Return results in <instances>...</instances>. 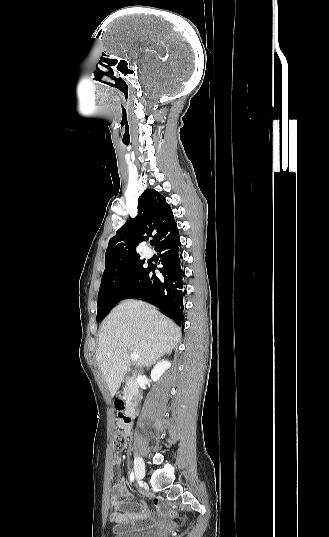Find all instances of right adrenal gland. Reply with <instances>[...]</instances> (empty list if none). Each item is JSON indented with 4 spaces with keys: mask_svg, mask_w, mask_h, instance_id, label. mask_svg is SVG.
Instances as JSON below:
<instances>
[{
    "mask_svg": "<svg viewBox=\"0 0 329 537\" xmlns=\"http://www.w3.org/2000/svg\"><path fill=\"white\" fill-rule=\"evenodd\" d=\"M151 365H152V363H150V364L148 365V367H150Z\"/></svg>",
    "mask_w": 329,
    "mask_h": 537,
    "instance_id": "2a0ac1e0",
    "label": "right adrenal gland"
}]
</instances>
